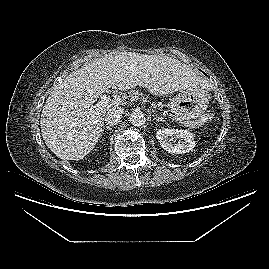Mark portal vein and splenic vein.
Listing matches in <instances>:
<instances>
[{"label":"portal vein and splenic vein","mask_w":269,"mask_h":269,"mask_svg":"<svg viewBox=\"0 0 269 269\" xmlns=\"http://www.w3.org/2000/svg\"><path fill=\"white\" fill-rule=\"evenodd\" d=\"M110 101H111L110 96H103L101 97V100L94 107L90 108V110L93 112H97L101 108L107 106L110 103Z\"/></svg>","instance_id":"obj_1"}]
</instances>
